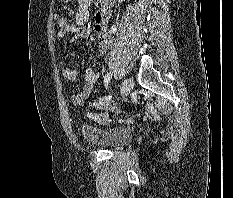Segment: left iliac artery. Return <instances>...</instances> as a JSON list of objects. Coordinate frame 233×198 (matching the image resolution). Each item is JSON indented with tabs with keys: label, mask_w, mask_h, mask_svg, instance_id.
<instances>
[{
	"label": "left iliac artery",
	"mask_w": 233,
	"mask_h": 198,
	"mask_svg": "<svg viewBox=\"0 0 233 198\" xmlns=\"http://www.w3.org/2000/svg\"><path fill=\"white\" fill-rule=\"evenodd\" d=\"M112 75H113V73H112V72H109V73H107L106 76L104 77V85H105V87H108V84H109V82H110V80H111V78H112Z\"/></svg>",
	"instance_id": "left-iliac-artery-1"
}]
</instances>
